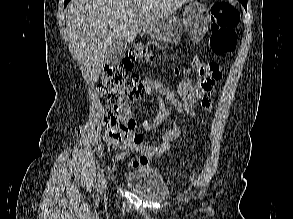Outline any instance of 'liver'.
<instances>
[{"label": "liver", "mask_w": 293, "mask_h": 219, "mask_svg": "<svg viewBox=\"0 0 293 219\" xmlns=\"http://www.w3.org/2000/svg\"><path fill=\"white\" fill-rule=\"evenodd\" d=\"M191 0H71L66 26L84 75L97 81L105 52L116 39L134 41L147 27L167 18Z\"/></svg>", "instance_id": "liver-1"}]
</instances>
